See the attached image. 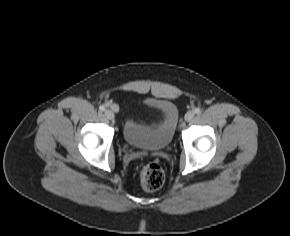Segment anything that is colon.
Wrapping results in <instances>:
<instances>
[{
	"label": "colon",
	"mask_w": 290,
	"mask_h": 236,
	"mask_svg": "<svg viewBox=\"0 0 290 236\" xmlns=\"http://www.w3.org/2000/svg\"><path fill=\"white\" fill-rule=\"evenodd\" d=\"M139 179L144 189L147 191H155L163 186L165 174L158 164L149 163L141 167Z\"/></svg>",
	"instance_id": "1"
}]
</instances>
